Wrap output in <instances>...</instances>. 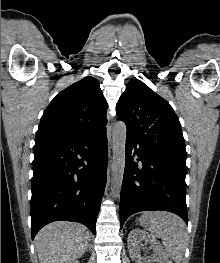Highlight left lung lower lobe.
<instances>
[{
	"mask_svg": "<svg viewBox=\"0 0 220 263\" xmlns=\"http://www.w3.org/2000/svg\"><path fill=\"white\" fill-rule=\"evenodd\" d=\"M134 156L139 157L141 165L133 160ZM185 176V163L126 137L120 228L132 214L151 210L175 213L188 223Z\"/></svg>",
	"mask_w": 220,
	"mask_h": 263,
	"instance_id": "left-lung-lower-lobe-1",
	"label": "left lung lower lobe"
}]
</instances>
